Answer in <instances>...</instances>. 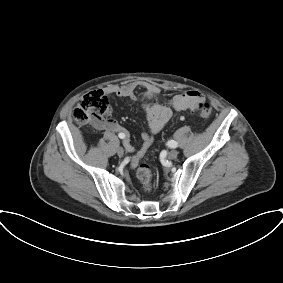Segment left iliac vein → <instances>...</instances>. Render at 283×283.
Masks as SVG:
<instances>
[{
    "label": "left iliac vein",
    "instance_id": "left-iliac-vein-1",
    "mask_svg": "<svg viewBox=\"0 0 283 283\" xmlns=\"http://www.w3.org/2000/svg\"><path fill=\"white\" fill-rule=\"evenodd\" d=\"M178 156V151L176 149H172L168 153V159H175Z\"/></svg>",
    "mask_w": 283,
    "mask_h": 283
}]
</instances>
